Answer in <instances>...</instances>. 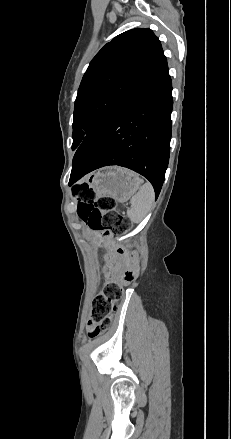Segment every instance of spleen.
Listing matches in <instances>:
<instances>
[{
    "label": "spleen",
    "instance_id": "1",
    "mask_svg": "<svg viewBox=\"0 0 231 439\" xmlns=\"http://www.w3.org/2000/svg\"><path fill=\"white\" fill-rule=\"evenodd\" d=\"M154 189L146 182L139 191L131 198V207L127 210V216L134 223L141 222L149 212L154 201Z\"/></svg>",
    "mask_w": 231,
    "mask_h": 439
}]
</instances>
